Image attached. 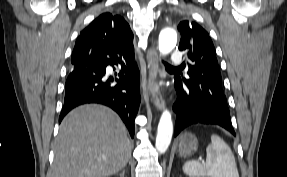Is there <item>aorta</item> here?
<instances>
[{"mask_svg": "<svg viewBox=\"0 0 287 177\" xmlns=\"http://www.w3.org/2000/svg\"><path fill=\"white\" fill-rule=\"evenodd\" d=\"M177 43V33L171 28L163 29L159 34V52L162 55L168 54ZM173 134V123L171 113L168 110H164L157 130L156 136V149L159 153H165L168 149Z\"/></svg>", "mask_w": 287, "mask_h": 177, "instance_id": "aorta-1", "label": "aorta"}]
</instances>
